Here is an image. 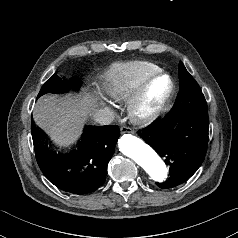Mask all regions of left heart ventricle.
<instances>
[{"mask_svg": "<svg viewBox=\"0 0 238 238\" xmlns=\"http://www.w3.org/2000/svg\"><path fill=\"white\" fill-rule=\"evenodd\" d=\"M167 88L168 82L165 78L155 81L150 87L144 108L149 110L155 107L165 94Z\"/></svg>", "mask_w": 238, "mask_h": 238, "instance_id": "obj_1", "label": "left heart ventricle"}]
</instances>
